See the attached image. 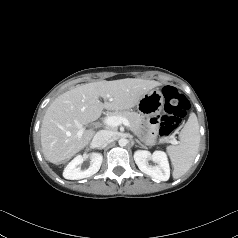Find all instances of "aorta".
<instances>
[{
  "mask_svg": "<svg viewBox=\"0 0 238 238\" xmlns=\"http://www.w3.org/2000/svg\"><path fill=\"white\" fill-rule=\"evenodd\" d=\"M127 143H128V141H127V139H125V138H120V139L118 140V144H119L121 147L126 146Z\"/></svg>",
  "mask_w": 238,
  "mask_h": 238,
  "instance_id": "762f6f07",
  "label": "aorta"
}]
</instances>
